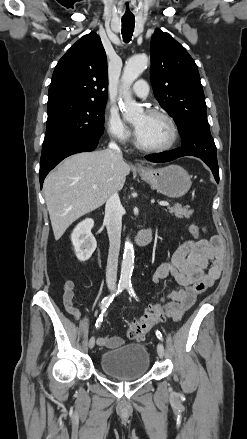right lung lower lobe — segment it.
Listing matches in <instances>:
<instances>
[{
	"instance_id": "98d812e1",
	"label": "right lung lower lobe",
	"mask_w": 247,
	"mask_h": 439,
	"mask_svg": "<svg viewBox=\"0 0 247 439\" xmlns=\"http://www.w3.org/2000/svg\"><path fill=\"white\" fill-rule=\"evenodd\" d=\"M97 145L98 139H92L68 143L43 150L40 160L39 171L41 188L47 174L64 158L78 152L93 151L97 147Z\"/></svg>"
}]
</instances>
